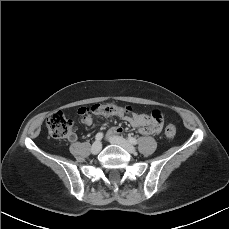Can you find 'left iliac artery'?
Here are the masks:
<instances>
[{
  "label": "left iliac artery",
  "instance_id": "obj_1",
  "mask_svg": "<svg viewBox=\"0 0 229 229\" xmlns=\"http://www.w3.org/2000/svg\"><path fill=\"white\" fill-rule=\"evenodd\" d=\"M128 141L133 145L138 144V140L136 138H133V137H128Z\"/></svg>",
  "mask_w": 229,
  "mask_h": 229
}]
</instances>
